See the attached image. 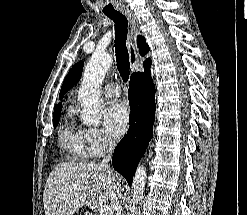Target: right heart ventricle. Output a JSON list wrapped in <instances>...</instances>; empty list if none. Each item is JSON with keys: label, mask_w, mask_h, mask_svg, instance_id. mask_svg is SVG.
I'll list each match as a JSON object with an SVG mask.
<instances>
[{"label": "right heart ventricle", "mask_w": 247, "mask_h": 215, "mask_svg": "<svg viewBox=\"0 0 247 215\" xmlns=\"http://www.w3.org/2000/svg\"><path fill=\"white\" fill-rule=\"evenodd\" d=\"M59 140L72 159L84 160L90 157L83 129L77 128L74 123L68 121L63 125L59 133Z\"/></svg>", "instance_id": "e07e8e85"}]
</instances>
